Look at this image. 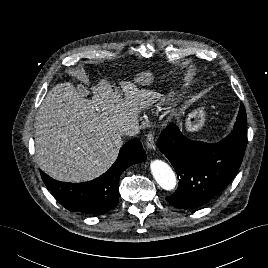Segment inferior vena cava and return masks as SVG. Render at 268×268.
Segmentation results:
<instances>
[{
	"label": "inferior vena cava",
	"mask_w": 268,
	"mask_h": 268,
	"mask_svg": "<svg viewBox=\"0 0 268 268\" xmlns=\"http://www.w3.org/2000/svg\"><path fill=\"white\" fill-rule=\"evenodd\" d=\"M138 132H139V125L132 124L123 128L122 135L135 136L136 134H138Z\"/></svg>",
	"instance_id": "1"
}]
</instances>
